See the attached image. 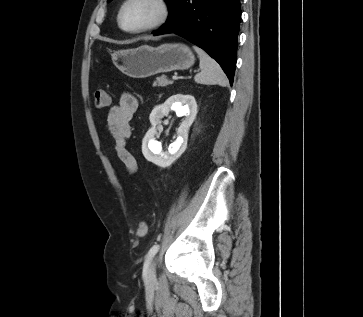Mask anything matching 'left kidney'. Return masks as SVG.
Instances as JSON below:
<instances>
[{
	"label": "left kidney",
	"instance_id": "left-kidney-1",
	"mask_svg": "<svg viewBox=\"0 0 363 317\" xmlns=\"http://www.w3.org/2000/svg\"><path fill=\"white\" fill-rule=\"evenodd\" d=\"M170 110H174L178 116H185L177 129V139L170 144L168 151L162 153L161 143L154 139L157 135L156 125L161 118L167 116ZM197 114V103L192 95L176 94L168 98L163 104L156 106L150 116L152 127L147 131L143 143L142 153L144 157L160 166H170L186 150L189 128L194 122Z\"/></svg>",
	"mask_w": 363,
	"mask_h": 317
}]
</instances>
